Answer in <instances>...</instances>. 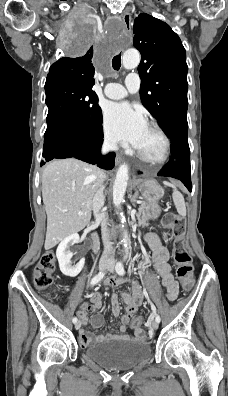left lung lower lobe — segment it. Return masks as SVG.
Here are the masks:
<instances>
[{
	"instance_id": "obj_1",
	"label": "left lung lower lobe",
	"mask_w": 228,
	"mask_h": 396,
	"mask_svg": "<svg viewBox=\"0 0 228 396\" xmlns=\"http://www.w3.org/2000/svg\"><path fill=\"white\" fill-rule=\"evenodd\" d=\"M161 128L171 139L172 155L169 162L158 172V176L179 179L191 191L187 108L172 112Z\"/></svg>"
}]
</instances>
